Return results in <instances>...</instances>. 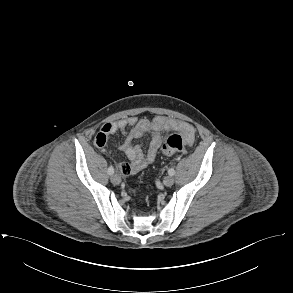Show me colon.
<instances>
[{"label": "colon", "instance_id": "colon-1", "mask_svg": "<svg viewBox=\"0 0 293 293\" xmlns=\"http://www.w3.org/2000/svg\"><path fill=\"white\" fill-rule=\"evenodd\" d=\"M187 143L179 134H173L167 138L161 147V151L165 155L184 154L187 152Z\"/></svg>", "mask_w": 293, "mask_h": 293}]
</instances>
